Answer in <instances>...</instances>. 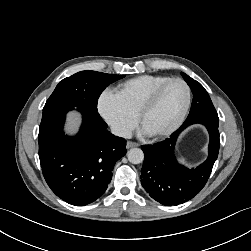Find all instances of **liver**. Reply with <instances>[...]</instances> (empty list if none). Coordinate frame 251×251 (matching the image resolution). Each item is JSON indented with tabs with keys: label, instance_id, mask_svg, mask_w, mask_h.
<instances>
[{
	"label": "liver",
	"instance_id": "6515ba94",
	"mask_svg": "<svg viewBox=\"0 0 251 251\" xmlns=\"http://www.w3.org/2000/svg\"><path fill=\"white\" fill-rule=\"evenodd\" d=\"M81 123V116L77 112H69L67 114L66 131L70 134H74L79 129Z\"/></svg>",
	"mask_w": 251,
	"mask_h": 251
}]
</instances>
